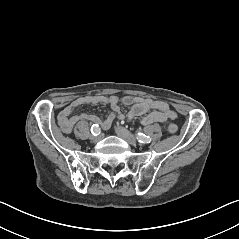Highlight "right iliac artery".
I'll use <instances>...</instances> for the list:
<instances>
[{"label": "right iliac artery", "instance_id": "right-iliac-artery-1", "mask_svg": "<svg viewBox=\"0 0 239 239\" xmlns=\"http://www.w3.org/2000/svg\"><path fill=\"white\" fill-rule=\"evenodd\" d=\"M91 133L95 136L99 135L101 133V128L97 124H93L91 127Z\"/></svg>", "mask_w": 239, "mask_h": 239}]
</instances>
